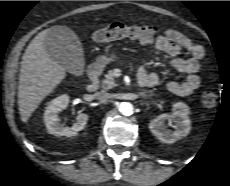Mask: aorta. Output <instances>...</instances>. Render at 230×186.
Segmentation results:
<instances>
[{"label":"aorta","instance_id":"1","mask_svg":"<svg viewBox=\"0 0 230 186\" xmlns=\"http://www.w3.org/2000/svg\"><path fill=\"white\" fill-rule=\"evenodd\" d=\"M133 105L130 102H122L119 105V111L122 115L129 116L133 113Z\"/></svg>","mask_w":230,"mask_h":186}]
</instances>
